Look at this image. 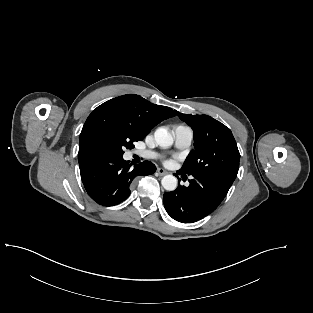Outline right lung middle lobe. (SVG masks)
I'll return each instance as SVG.
<instances>
[{"mask_svg": "<svg viewBox=\"0 0 313 313\" xmlns=\"http://www.w3.org/2000/svg\"><path fill=\"white\" fill-rule=\"evenodd\" d=\"M143 138L127 123L111 122L101 135L100 153L123 156L125 148L132 149L133 143Z\"/></svg>", "mask_w": 313, "mask_h": 313, "instance_id": "dd1d6c3e", "label": "right lung middle lobe"}]
</instances>
